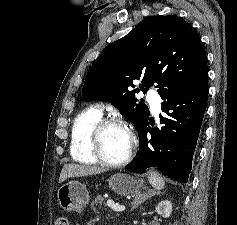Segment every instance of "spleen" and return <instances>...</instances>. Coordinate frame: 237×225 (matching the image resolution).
<instances>
[{"label": "spleen", "instance_id": "3e777b00", "mask_svg": "<svg viewBox=\"0 0 237 225\" xmlns=\"http://www.w3.org/2000/svg\"><path fill=\"white\" fill-rule=\"evenodd\" d=\"M148 179H149L150 184L155 189L160 190L164 188V185H165L164 180L156 172H150Z\"/></svg>", "mask_w": 237, "mask_h": 225}]
</instances>
